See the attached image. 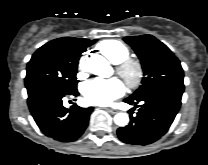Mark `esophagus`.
Listing matches in <instances>:
<instances>
[{"label": "esophagus", "instance_id": "34e87169", "mask_svg": "<svg viewBox=\"0 0 208 165\" xmlns=\"http://www.w3.org/2000/svg\"><path fill=\"white\" fill-rule=\"evenodd\" d=\"M107 112L111 113V114H116L118 111L116 109L113 108H104Z\"/></svg>", "mask_w": 208, "mask_h": 165}]
</instances>
